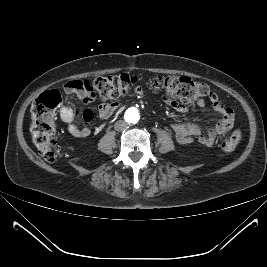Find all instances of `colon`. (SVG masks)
<instances>
[{
	"instance_id": "obj_1",
	"label": "colon",
	"mask_w": 267,
	"mask_h": 267,
	"mask_svg": "<svg viewBox=\"0 0 267 267\" xmlns=\"http://www.w3.org/2000/svg\"><path fill=\"white\" fill-rule=\"evenodd\" d=\"M138 81V78L129 73L112 76H101L86 81H81L90 95L91 100L99 98L101 101L119 99L128 94ZM156 91L173 101L193 102L210 96L208 86L187 76L156 77L152 79ZM61 96L57 90L42 93L32 104L30 126L31 138L42 158L48 162H55L59 147L55 139L56 123L55 111L60 104ZM243 132L236 129L225 137L221 147L225 151L235 149L241 142Z\"/></svg>"
}]
</instances>
